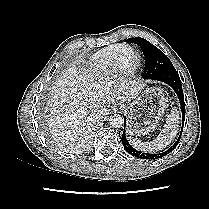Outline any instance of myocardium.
<instances>
[{"mask_svg": "<svg viewBox=\"0 0 209 209\" xmlns=\"http://www.w3.org/2000/svg\"><path fill=\"white\" fill-rule=\"evenodd\" d=\"M126 50H132L134 53H136V50L132 46L122 45L120 47V49L115 54L112 66V70L118 74H126L133 67L130 63L123 64L121 61V56Z\"/></svg>", "mask_w": 209, "mask_h": 209, "instance_id": "f54148a6", "label": "myocardium"}]
</instances>
